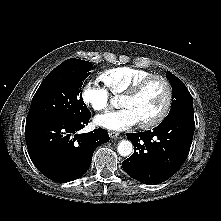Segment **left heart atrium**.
Listing matches in <instances>:
<instances>
[{
	"label": "left heart atrium",
	"mask_w": 221,
	"mask_h": 221,
	"mask_svg": "<svg viewBox=\"0 0 221 221\" xmlns=\"http://www.w3.org/2000/svg\"><path fill=\"white\" fill-rule=\"evenodd\" d=\"M95 123L106 129L119 131L137 124L138 120L130 109L123 108L118 111L97 116L95 118Z\"/></svg>",
	"instance_id": "39dd6f15"
}]
</instances>
